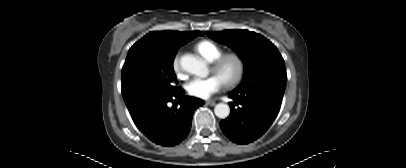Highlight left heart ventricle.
Listing matches in <instances>:
<instances>
[{
    "label": "left heart ventricle",
    "mask_w": 406,
    "mask_h": 168,
    "mask_svg": "<svg viewBox=\"0 0 406 168\" xmlns=\"http://www.w3.org/2000/svg\"><path fill=\"white\" fill-rule=\"evenodd\" d=\"M235 73V65L233 62H228L224 68L217 73L216 75H218L222 81H225L227 79H230Z\"/></svg>",
    "instance_id": "1"
}]
</instances>
